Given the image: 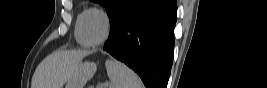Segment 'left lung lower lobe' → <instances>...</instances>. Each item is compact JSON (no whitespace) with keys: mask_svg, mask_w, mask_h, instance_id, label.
Wrapping results in <instances>:
<instances>
[{"mask_svg":"<svg viewBox=\"0 0 267 88\" xmlns=\"http://www.w3.org/2000/svg\"><path fill=\"white\" fill-rule=\"evenodd\" d=\"M176 18L175 0H132L111 26L104 50L137 72L147 88H166Z\"/></svg>","mask_w":267,"mask_h":88,"instance_id":"1","label":"left lung lower lobe"}]
</instances>
